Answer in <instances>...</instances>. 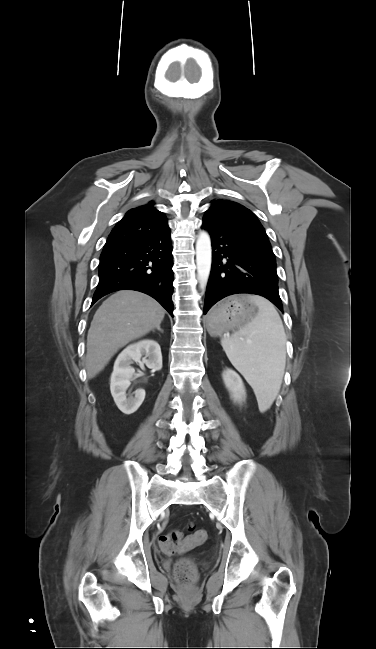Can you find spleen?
Instances as JSON below:
<instances>
[{
    "label": "spleen",
    "mask_w": 376,
    "mask_h": 649,
    "mask_svg": "<svg viewBox=\"0 0 376 649\" xmlns=\"http://www.w3.org/2000/svg\"><path fill=\"white\" fill-rule=\"evenodd\" d=\"M257 315L221 345L232 365L252 386L261 412L270 408L279 393L286 365V335L274 305L250 295Z\"/></svg>",
    "instance_id": "1"
}]
</instances>
